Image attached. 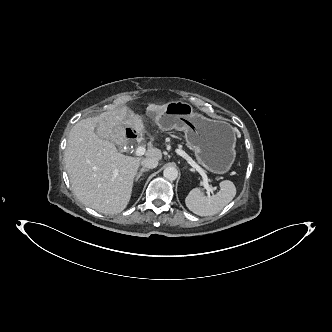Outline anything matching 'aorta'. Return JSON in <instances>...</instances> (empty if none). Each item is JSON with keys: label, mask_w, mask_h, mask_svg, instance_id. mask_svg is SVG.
Here are the masks:
<instances>
[{"label": "aorta", "mask_w": 332, "mask_h": 332, "mask_svg": "<svg viewBox=\"0 0 332 332\" xmlns=\"http://www.w3.org/2000/svg\"><path fill=\"white\" fill-rule=\"evenodd\" d=\"M163 176L169 181H174L178 177V170L175 167H166L163 171Z\"/></svg>", "instance_id": "762f6f07"}]
</instances>
